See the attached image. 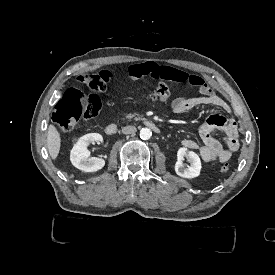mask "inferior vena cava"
<instances>
[{"instance_id": "602c4592", "label": "inferior vena cava", "mask_w": 275, "mask_h": 275, "mask_svg": "<svg viewBox=\"0 0 275 275\" xmlns=\"http://www.w3.org/2000/svg\"><path fill=\"white\" fill-rule=\"evenodd\" d=\"M137 131L135 126H125L122 128V133L123 134H132Z\"/></svg>"}]
</instances>
